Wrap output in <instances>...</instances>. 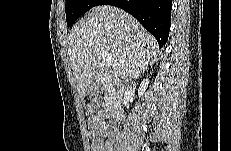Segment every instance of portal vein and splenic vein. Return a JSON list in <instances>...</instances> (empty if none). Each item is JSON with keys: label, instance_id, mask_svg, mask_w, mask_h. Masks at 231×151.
<instances>
[{"label": "portal vein and splenic vein", "instance_id": "18ae733b", "mask_svg": "<svg viewBox=\"0 0 231 151\" xmlns=\"http://www.w3.org/2000/svg\"><path fill=\"white\" fill-rule=\"evenodd\" d=\"M101 59L106 63L107 66H112L114 63L112 57L106 51L101 52Z\"/></svg>", "mask_w": 231, "mask_h": 151}]
</instances>
